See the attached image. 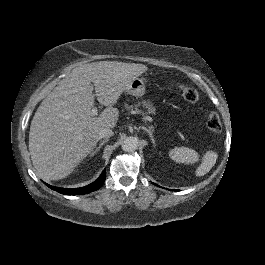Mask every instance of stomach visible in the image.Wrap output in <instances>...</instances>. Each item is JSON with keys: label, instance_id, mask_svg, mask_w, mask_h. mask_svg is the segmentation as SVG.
I'll list each match as a JSON object with an SVG mask.
<instances>
[{"label": "stomach", "instance_id": "0dacf381", "mask_svg": "<svg viewBox=\"0 0 265 265\" xmlns=\"http://www.w3.org/2000/svg\"><path fill=\"white\" fill-rule=\"evenodd\" d=\"M124 91L135 97H142L145 94V83L142 79L135 77L131 82L127 83Z\"/></svg>", "mask_w": 265, "mask_h": 265}]
</instances>
